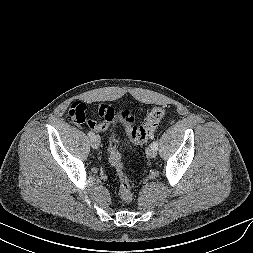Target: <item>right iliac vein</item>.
<instances>
[{
    "instance_id": "1",
    "label": "right iliac vein",
    "mask_w": 253,
    "mask_h": 253,
    "mask_svg": "<svg viewBox=\"0 0 253 253\" xmlns=\"http://www.w3.org/2000/svg\"><path fill=\"white\" fill-rule=\"evenodd\" d=\"M100 143H101L100 138L96 135L91 139V146L94 149H98L100 147Z\"/></svg>"
}]
</instances>
